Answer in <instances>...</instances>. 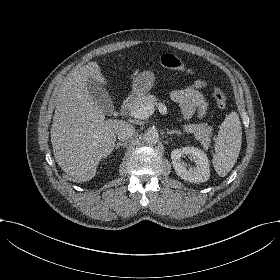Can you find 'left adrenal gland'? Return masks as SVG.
Wrapping results in <instances>:
<instances>
[{"instance_id":"a2214340","label":"left adrenal gland","mask_w":280,"mask_h":280,"mask_svg":"<svg viewBox=\"0 0 280 280\" xmlns=\"http://www.w3.org/2000/svg\"><path fill=\"white\" fill-rule=\"evenodd\" d=\"M167 134H169V135H171V134L181 135L182 132L180 130H167Z\"/></svg>"}]
</instances>
